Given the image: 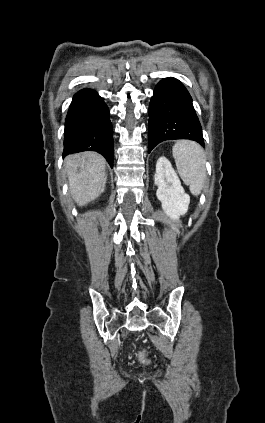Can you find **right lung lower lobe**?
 <instances>
[{
    "label": "right lung lower lobe",
    "mask_w": 265,
    "mask_h": 423,
    "mask_svg": "<svg viewBox=\"0 0 265 423\" xmlns=\"http://www.w3.org/2000/svg\"><path fill=\"white\" fill-rule=\"evenodd\" d=\"M102 154L113 167V137L109 110L92 89L77 92L65 120L64 155L82 151Z\"/></svg>",
    "instance_id": "obj_1"
}]
</instances>
